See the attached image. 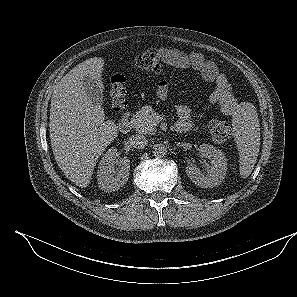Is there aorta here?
Masks as SVG:
<instances>
[{
  "label": "aorta",
  "instance_id": "aorta-1",
  "mask_svg": "<svg viewBox=\"0 0 297 297\" xmlns=\"http://www.w3.org/2000/svg\"><path fill=\"white\" fill-rule=\"evenodd\" d=\"M152 153L157 158H162L167 154V148L163 144H155L152 148Z\"/></svg>",
  "mask_w": 297,
  "mask_h": 297
}]
</instances>
